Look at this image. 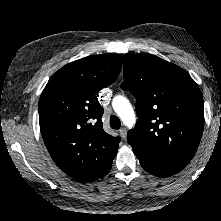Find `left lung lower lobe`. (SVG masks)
Returning a JSON list of instances; mask_svg holds the SVG:
<instances>
[{
	"mask_svg": "<svg viewBox=\"0 0 221 221\" xmlns=\"http://www.w3.org/2000/svg\"><path fill=\"white\" fill-rule=\"evenodd\" d=\"M140 161L141 166L150 174L169 177L185 168L186 165L149 153L133 151Z\"/></svg>",
	"mask_w": 221,
	"mask_h": 221,
	"instance_id": "1",
	"label": "left lung lower lobe"
}]
</instances>
